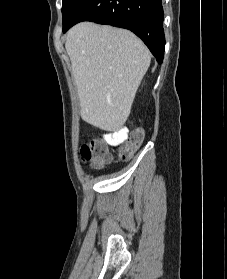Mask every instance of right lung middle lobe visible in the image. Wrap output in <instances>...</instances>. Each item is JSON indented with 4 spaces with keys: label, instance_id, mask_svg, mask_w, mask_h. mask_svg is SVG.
<instances>
[{
    "label": "right lung middle lobe",
    "instance_id": "dd1d6c3e",
    "mask_svg": "<svg viewBox=\"0 0 227 279\" xmlns=\"http://www.w3.org/2000/svg\"><path fill=\"white\" fill-rule=\"evenodd\" d=\"M84 0H62L63 32L65 33L73 22L74 16Z\"/></svg>",
    "mask_w": 227,
    "mask_h": 279
}]
</instances>
